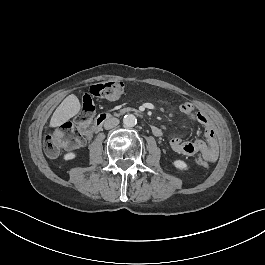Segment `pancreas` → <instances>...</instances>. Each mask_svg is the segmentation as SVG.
I'll use <instances>...</instances> for the list:
<instances>
[{"instance_id":"1","label":"pancreas","mask_w":265,"mask_h":265,"mask_svg":"<svg viewBox=\"0 0 265 265\" xmlns=\"http://www.w3.org/2000/svg\"><path fill=\"white\" fill-rule=\"evenodd\" d=\"M127 111H133V108H126Z\"/></svg>"}]
</instances>
